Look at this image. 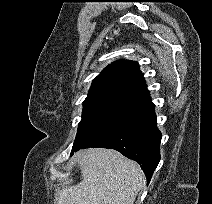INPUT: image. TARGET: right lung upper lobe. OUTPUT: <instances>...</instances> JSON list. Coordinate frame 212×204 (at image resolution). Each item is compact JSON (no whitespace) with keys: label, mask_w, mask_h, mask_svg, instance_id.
<instances>
[{"label":"right lung upper lobe","mask_w":212,"mask_h":204,"mask_svg":"<svg viewBox=\"0 0 212 204\" xmlns=\"http://www.w3.org/2000/svg\"><path fill=\"white\" fill-rule=\"evenodd\" d=\"M119 100L141 105L151 102L137 62L119 60L107 66L94 80L84 103Z\"/></svg>","instance_id":"obj_1"}]
</instances>
